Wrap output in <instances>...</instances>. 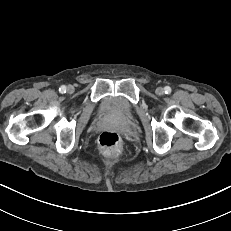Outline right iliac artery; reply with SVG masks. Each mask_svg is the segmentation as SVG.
<instances>
[{
	"label": "right iliac artery",
	"instance_id": "1",
	"mask_svg": "<svg viewBox=\"0 0 231 231\" xmlns=\"http://www.w3.org/2000/svg\"><path fill=\"white\" fill-rule=\"evenodd\" d=\"M59 91L60 93H65L66 92V86L65 85H62L60 88H59Z\"/></svg>",
	"mask_w": 231,
	"mask_h": 231
}]
</instances>
